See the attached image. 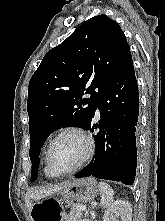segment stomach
Returning a JSON list of instances; mask_svg holds the SVG:
<instances>
[{"instance_id": "stomach-1", "label": "stomach", "mask_w": 165, "mask_h": 221, "mask_svg": "<svg viewBox=\"0 0 165 221\" xmlns=\"http://www.w3.org/2000/svg\"><path fill=\"white\" fill-rule=\"evenodd\" d=\"M58 194L61 200H36L31 217H70L72 205L93 200L98 195V186L91 177L75 179L67 182ZM34 221H69V218H34Z\"/></svg>"}]
</instances>
